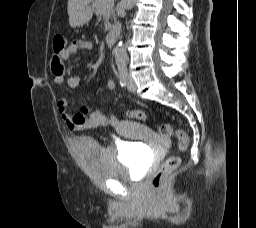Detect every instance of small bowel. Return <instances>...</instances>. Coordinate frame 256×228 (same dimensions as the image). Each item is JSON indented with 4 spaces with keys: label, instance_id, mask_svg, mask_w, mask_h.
I'll list each match as a JSON object with an SVG mask.
<instances>
[{
    "label": "small bowel",
    "instance_id": "c3829d8e",
    "mask_svg": "<svg viewBox=\"0 0 256 228\" xmlns=\"http://www.w3.org/2000/svg\"><path fill=\"white\" fill-rule=\"evenodd\" d=\"M92 48L93 44L90 41L77 39L70 42L60 53H54L51 58V71L54 83L61 84L66 81L69 89H77L80 85V78L78 76H66L64 61L79 51L92 50ZM106 88L109 92L114 91L115 82L109 80ZM57 107L61 117L72 131H81L102 126H118L119 124L115 116H108L99 108L84 105L79 111L73 112L69 108L66 98H60L57 102Z\"/></svg>",
    "mask_w": 256,
    "mask_h": 228
}]
</instances>
